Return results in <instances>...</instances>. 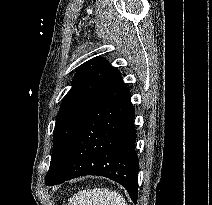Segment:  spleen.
<instances>
[{
    "instance_id": "obj_1",
    "label": "spleen",
    "mask_w": 212,
    "mask_h": 205,
    "mask_svg": "<svg viewBox=\"0 0 212 205\" xmlns=\"http://www.w3.org/2000/svg\"><path fill=\"white\" fill-rule=\"evenodd\" d=\"M69 205H127L125 198L116 191L105 188L82 190L69 199Z\"/></svg>"
}]
</instances>
